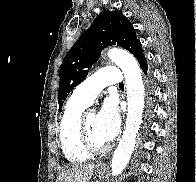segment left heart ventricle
Masks as SVG:
<instances>
[{
  "mask_svg": "<svg viewBox=\"0 0 196 182\" xmlns=\"http://www.w3.org/2000/svg\"><path fill=\"white\" fill-rule=\"evenodd\" d=\"M96 121H97V115L94 112H89L86 117V125H87L90 140L94 145L102 146L105 145L106 142L98 132Z\"/></svg>",
  "mask_w": 196,
  "mask_h": 182,
  "instance_id": "1",
  "label": "left heart ventricle"
}]
</instances>
